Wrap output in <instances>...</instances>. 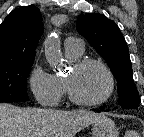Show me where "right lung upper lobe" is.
I'll return each instance as SVG.
<instances>
[{
	"instance_id": "obj_1",
	"label": "right lung upper lobe",
	"mask_w": 144,
	"mask_h": 137,
	"mask_svg": "<svg viewBox=\"0 0 144 137\" xmlns=\"http://www.w3.org/2000/svg\"><path fill=\"white\" fill-rule=\"evenodd\" d=\"M42 33V16L37 7L13 10L0 25V63L34 59Z\"/></svg>"
}]
</instances>
